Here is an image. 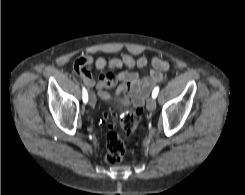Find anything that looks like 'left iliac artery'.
<instances>
[{"mask_svg": "<svg viewBox=\"0 0 245 195\" xmlns=\"http://www.w3.org/2000/svg\"><path fill=\"white\" fill-rule=\"evenodd\" d=\"M159 93V87H155L153 92H152V97L155 99Z\"/></svg>", "mask_w": 245, "mask_h": 195, "instance_id": "44dca946", "label": "left iliac artery"}]
</instances>
